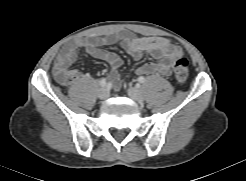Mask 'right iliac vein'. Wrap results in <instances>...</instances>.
Returning a JSON list of instances; mask_svg holds the SVG:
<instances>
[{"mask_svg":"<svg viewBox=\"0 0 246 181\" xmlns=\"http://www.w3.org/2000/svg\"><path fill=\"white\" fill-rule=\"evenodd\" d=\"M98 98L101 99V100H105L108 98L109 96V91L107 88L103 87L101 89L98 90Z\"/></svg>","mask_w":246,"mask_h":181,"instance_id":"1","label":"right iliac vein"}]
</instances>
